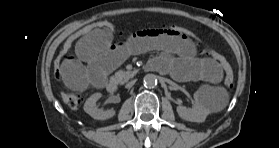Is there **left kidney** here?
<instances>
[{
  "label": "left kidney",
  "instance_id": "left-kidney-1",
  "mask_svg": "<svg viewBox=\"0 0 279 148\" xmlns=\"http://www.w3.org/2000/svg\"><path fill=\"white\" fill-rule=\"evenodd\" d=\"M194 99L195 103L193 108H187L185 106L179 105L177 106V113L184 120L198 123L204 122L211 110L204 102L199 91L194 93Z\"/></svg>",
  "mask_w": 279,
  "mask_h": 148
}]
</instances>
